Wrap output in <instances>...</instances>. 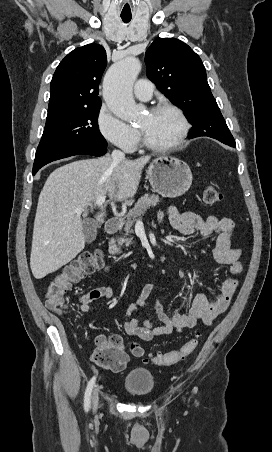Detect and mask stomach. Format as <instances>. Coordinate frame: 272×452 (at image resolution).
<instances>
[{
	"mask_svg": "<svg viewBox=\"0 0 272 452\" xmlns=\"http://www.w3.org/2000/svg\"><path fill=\"white\" fill-rule=\"evenodd\" d=\"M147 177L153 190L168 198H176L187 192L193 179L184 161L168 155L157 156L150 162Z\"/></svg>",
	"mask_w": 272,
	"mask_h": 452,
	"instance_id": "obj_1",
	"label": "stomach"
}]
</instances>
